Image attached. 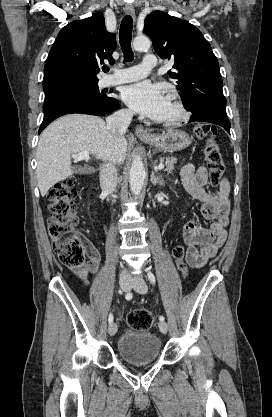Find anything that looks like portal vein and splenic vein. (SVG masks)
I'll return each mask as SVG.
<instances>
[{
	"label": "portal vein and splenic vein",
	"instance_id": "obj_1",
	"mask_svg": "<svg viewBox=\"0 0 272 417\" xmlns=\"http://www.w3.org/2000/svg\"><path fill=\"white\" fill-rule=\"evenodd\" d=\"M72 158L75 161H81V160L88 161L90 159V156H89V152L84 151V152H81V153H78V154H72ZM163 168H164V164H159L157 166L158 170H162Z\"/></svg>",
	"mask_w": 272,
	"mask_h": 417
}]
</instances>
